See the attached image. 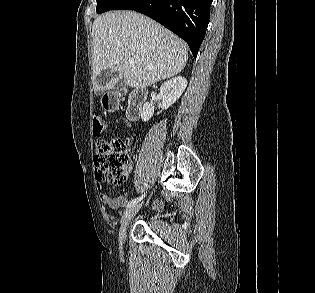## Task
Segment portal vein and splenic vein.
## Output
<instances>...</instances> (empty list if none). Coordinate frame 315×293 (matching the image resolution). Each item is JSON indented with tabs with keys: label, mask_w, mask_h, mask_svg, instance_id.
I'll return each instance as SVG.
<instances>
[{
	"label": "portal vein and splenic vein",
	"mask_w": 315,
	"mask_h": 293,
	"mask_svg": "<svg viewBox=\"0 0 315 293\" xmlns=\"http://www.w3.org/2000/svg\"><path fill=\"white\" fill-rule=\"evenodd\" d=\"M129 64L130 66H134L135 65V61L133 58L129 59Z\"/></svg>",
	"instance_id": "obj_1"
}]
</instances>
